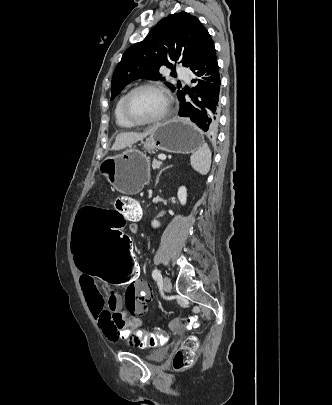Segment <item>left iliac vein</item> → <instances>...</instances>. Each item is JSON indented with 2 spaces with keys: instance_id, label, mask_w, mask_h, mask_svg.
<instances>
[{
  "instance_id": "obj_1",
  "label": "left iliac vein",
  "mask_w": 332,
  "mask_h": 405,
  "mask_svg": "<svg viewBox=\"0 0 332 405\" xmlns=\"http://www.w3.org/2000/svg\"><path fill=\"white\" fill-rule=\"evenodd\" d=\"M163 287L166 292H169L172 288V283L168 276H164L163 278Z\"/></svg>"
}]
</instances>
